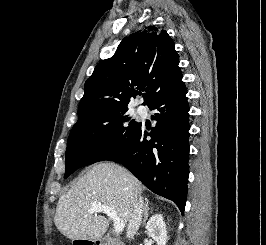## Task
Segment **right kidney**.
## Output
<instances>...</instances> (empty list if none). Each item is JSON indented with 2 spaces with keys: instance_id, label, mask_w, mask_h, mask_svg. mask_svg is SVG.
<instances>
[{
  "instance_id": "right-kidney-1",
  "label": "right kidney",
  "mask_w": 266,
  "mask_h": 245,
  "mask_svg": "<svg viewBox=\"0 0 266 245\" xmlns=\"http://www.w3.org/2000/svg\"><path fill=\"white\" fill-rule=\"evenodd\" d=\"M145 229L147 235L152 237L157 245H166L168 237L162 215H153V217H150Z\"/></svg>"
}]
</instances>
